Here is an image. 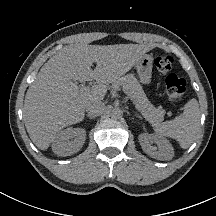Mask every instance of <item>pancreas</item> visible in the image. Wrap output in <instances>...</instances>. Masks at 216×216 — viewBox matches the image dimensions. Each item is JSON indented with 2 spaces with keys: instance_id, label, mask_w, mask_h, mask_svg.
I'll return each mask as SVG.
<instances>
[{
  "instance_id": "1",
  "label": "pancreas",
  "mask_w": 216,
  "mask_h": 216,
  "mask_svg": "<svg viewBox=\"0 0 216 216\" xmlns=\"http://www.w3.org/2000/svg\"><path fill=\"white\" fill-rule=\"evenodd\" d=\"M120 86L127 87L134 95V103L144 118L153 125H159L165 115V111L159 107L155 108L147 99L141 85L133 74H127L112 83V87L118 89Z\"/></svg>"
}]
</instances>
